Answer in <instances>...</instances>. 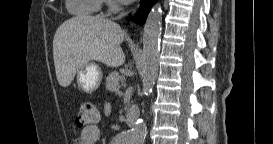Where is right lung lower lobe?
Returning a JSON list of instances; mask_svg holds the SVG:
<instances>
[{
	"instance_id": "obj_1",
	"label": "right lung lower lobe",
	"mask_w": 273,
	"mask_h": 144,
	"mask_svg": "<svg viewBox=\"0 0 273 144\" xmlns=\"http://www.w3.org/2000/svg\"><path fill=\"white\" fill-rule=\"evenodd\" d=\"M155 2L156 0H142L141 7L139 8L138 13L135 15L134 20L141 24L144 23L148 12Z\"/></svg>"
}]
</instances>
